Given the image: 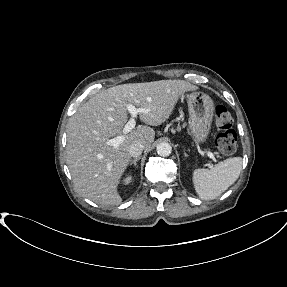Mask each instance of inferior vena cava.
Segmentation results:
<instances>
[{
  "mask_svg": "<svg viewBox=\"0 0 287 287\" xmlns=\"http://www.w3.org/2000/svg\"><path fill=\"white\" fill-rule=\"evenodd\" d=\"M144 148L145 146L140 142L133 143L132 145H130L129 154L131 157L137 158L141 155Z\"/></svg>",
  "mask_w": 287,
  "mask_h": 287,
  "instance_id": "obj_1",
  "label": "inferior vena cava"
}]
</instances>
